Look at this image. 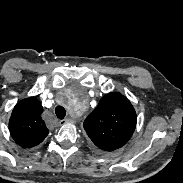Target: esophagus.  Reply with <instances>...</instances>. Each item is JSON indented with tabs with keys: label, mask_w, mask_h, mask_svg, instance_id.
Listing matches in <instances>:
<instances>
[{
	"label": "esophagus",
	"mask_w": 183,
	"mask_h": 183,
	"mask_svg": "<svg viewBox=\"0 0 183 183\" xmlns=\"http://www.w3.org/2000/svg\"><path fill=\"white\" fill-rule=\"evenodd\" d=\"M62 122H63V124H67V123H69V120L65 119Z\"/></svg>",
	"instance_id": "1"
}]
</instances>
